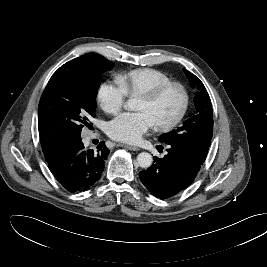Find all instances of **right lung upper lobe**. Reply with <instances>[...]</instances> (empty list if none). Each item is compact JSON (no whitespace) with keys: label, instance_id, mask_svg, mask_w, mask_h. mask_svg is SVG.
I'll return each mask as SVG.
<instances>
[{"label":"right lung upper lobe","instance_id":"right-lung-upper-lobe-1","mask_svg":"<svg viewBox=\"0 0 267 267\" xmlns=\"http://www.w3.org/2000/svg\"><path fill=\"white\" fill-rule=\"evenodd\" d=\"M66 144V142L55 143L49 147L43 148V153L47 162L53 160V157L57 154V152Z\"/></svg>","mask_w":267,"mask_h":267}]
</instances>
